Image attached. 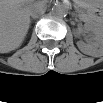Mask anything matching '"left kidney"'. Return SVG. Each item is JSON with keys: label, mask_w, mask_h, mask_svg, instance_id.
I'll list each match as a JSON object with an SVG mask.
<instances>
[{"label": "left kidney", "mask_w": 103, "mask_h": 103, "mask_svg": "<svg viewBox=\"0 0 103 103\" xmlns=\"http://www.w3.org/2000/svg\"><path fill=\"white\" fill-rule=\"evenodd\" d=\"M84 28L86 30H91L93 32L92 37L88 43L83 41H78L77 46L81 52L91 56H98L102 53L103 46V32L101 28L93 27L89 24H85Z\"/></svg>", "instance_id": "left-kidney-1"}]
</instances>
